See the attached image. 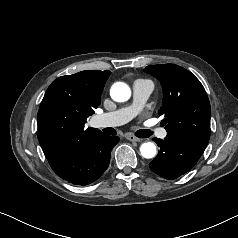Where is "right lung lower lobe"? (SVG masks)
Returning a JSON list of instances; mask_svg holds the SVG:
<instances>
[{
    "label": "right lung lower lobe",
    "instance_id": "1",
    "mask_svg": "<svg viewBox=\"0 0 238 238\" xmlns=\"http://www.w3.org/2000/svg\"><path fill=\"white\" fill-rule=\"evenodd\" d=\"M117 136L94 131L74 139L60 155L48 159L54 172L72 184L88 185L107 169Z\"/></svg>",
    "mask_w": 238,
    "mask_h": 238
}]
</instances>
